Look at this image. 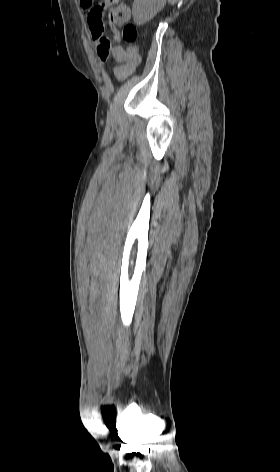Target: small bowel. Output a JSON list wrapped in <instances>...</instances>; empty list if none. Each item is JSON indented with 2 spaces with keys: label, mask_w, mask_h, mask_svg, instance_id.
Returning <instances> with one entry per match:
<instances>
[{
  "label": "small bowel",
  "mask_w": 280,
  "mask_h": 472,
  "mask_svg": "<svg viewBox=\"0 0 280 472\" xmlns=\"http://www.w3.org/2000/svg\"><path fill=\"white\" fill-rule=\"evenodd\" d=\"M83 8H86L80 0ZM109 12V26L112 31V37L105 33L104 24H91L89 29L93 39L97 55L100 60L105 61L109 55L118 63L114 74L118 81H124L130 76L138 66L140 60L136 52L129 53L118 42L120 41L119 27L126 24L131 18V9L125 0H119L115 4L108 6Z\"/></svg>",
  "instance_id": "c3829d8e"
}]
</instances>
